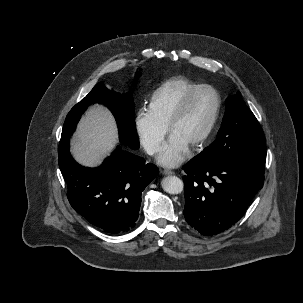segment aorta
I'll return each instance as SVG.
<instances>
[{
    "label": "aorta",
    "instance_id": "762f6f07",
    "mask_svg": "<svg viewBox=\"0 0 303 303\" xmlns=\"http://www.w3.org/2000/svg\"><path fill=\"white\" fill-rule=\"evenodd\" d=\"M163 190L169 194H179L183 191V181L177 176H167L161 182Z\"/></svg>",
    "mask_w": 303,
    "mask_h": 303
}]
</instances>
